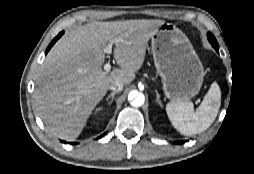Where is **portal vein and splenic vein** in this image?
<instances>
[{
    "instance_id": "obj_1",
    "label": "portal vein and splenic vein",
    "mask_w": 254,
    "mask_h": 174,
    "mask_svg": "<svg viewBox=\"0 0 254 174\" xmlns=\"http://www.w3.org/2000/svg\"><path fill=\"white\" fill-rule=\"evenodd\" d=\"M121 41H122V39H117V40H115L114 42L109 43L107 46H105L104 51H105L106 53H108V54H111V53H112V46H113V44H114V43H115V44L120 43ZM110 69H111L110 63H106V64L104 65V70H105V72H106V73L109 72Z\"/></svg>"
}]
</instances>
